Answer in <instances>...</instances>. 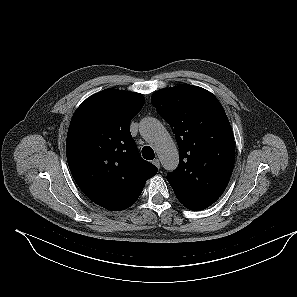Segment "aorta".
<instances>
[{"label":"aorta","instance_id":"obj_1","mask_svg":"<svg viewBox=\"0 0 297 297\" xmlns=\"http://www.w3.org/2000/svg\"><path fill=\"white\" fill-rule=\"evenodd\" d=\"M140 134L155 149L167 171H173L179 164V151L172 137L161 122L155 118H144L140 122Z\"/></svg>","mask_w":297,"mask_h":297}]
</instances>
